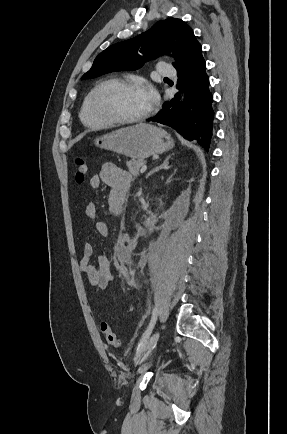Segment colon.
<instances>
[{
  "instance_id": "1",
  "label": "colon",
  "mask_w": 287,
  "mask_h": 434,
  "mask_svg": "<svg viewBox=\"0 0 287 434\" xmlns=\"http://www.w3.org/2000/svg\"><path fill=\"white\" fill-rule=\"evenodd\" d=\"M74 172H75V179L78 183H82L85 181L88 167L86 161L78 157L74 161ZM101 332L105 337V340L107 343L113 347H119L121 342L116 335V333L113 331L111 326L107 322H102L100 325Z\"/></svg>"
}]
</instances>
